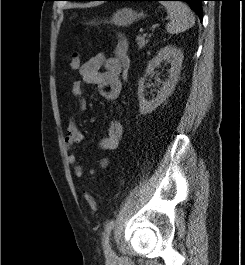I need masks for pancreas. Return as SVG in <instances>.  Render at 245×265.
<instances>
[{"label":"pancreas","instance_id":"cf45deb5","mask_svg":"<svg viewBox=\"0 0 245 265\" xmlns=\"http://www.w3.org/2000/svg\"><path fill=\"white\" fill-rule=\"evenodd\" d=\"M136 42H137L139 49H142L149 42V39L146 38L144 35L143 36L138 35L136 38Z\"/></svg>","mask_w":245,"mask_h":265}]
</instances>
